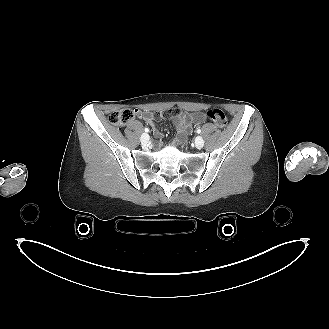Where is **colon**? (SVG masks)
<instances>
[{"instance_id":"5ec220e1","label":"colon","mask_w":329,"mask_h":329,"mask_svg":"<svg viewBox=\"0 0 329 329\" xmlns=\"http://www.w3.org/2000/svg\"><path fill=\"white\" fill-rule=\"evenodd\" d=\"M139 110L122 109L108 115V122L113 126H124L133 120ZM209 119L214 121L219 127L225 128L228 124L226 115L222 110L210 109L206 112Z\"/></svg>"}]
</instances>
